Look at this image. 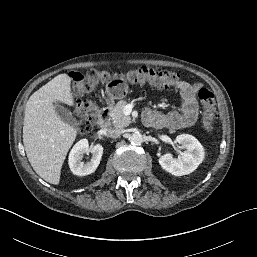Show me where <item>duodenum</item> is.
Listing matches in <instances>:
<instances>
[{"instance_id":"obj_1","label":"duodenum","mask_w":257,"mask_h":257,"mask_svg":"<svg viewBox=\"0 0 257 257\" xmlns=\"http://www.w3.org/2000/svg\"><path fill=\"white\" fill-rule=\"evenodd\" d=\"M110 121V106H105L100 110L98 117V125L101 128H105L108 126Z\"/></svg>"}]
</instances>
